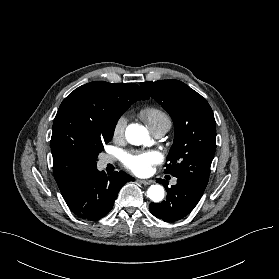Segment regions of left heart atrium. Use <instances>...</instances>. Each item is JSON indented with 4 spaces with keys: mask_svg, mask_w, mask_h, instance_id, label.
Segmentation results:
<instances>
[{
    "mask_svg": "<svg viewBox=\"0 0 279 279\" xmlns=\"http://www.w3.org/2000/svg\"><path fill=\"white\" fill-rule=\"evenodd\" d=\"M162 156L157 151L126 154L123 158L125 166L137 175H147L153 165L161 161Z\"/></svg>",
    "mask_w": 279,
    "mask_h": 279,
    "instance_id": "39dd6f15",
    "label": "left heart atrium"
}]
</instances>
